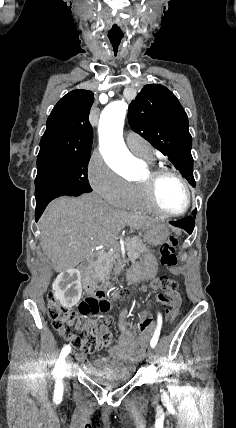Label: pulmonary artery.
Segmentation results:
<instances>
[{"instance_id":"1","label":"pulmonary artery","mask_w":236,"mask_h":428,"mask_svg":"<svg viewBox=\"0 0 236 428\" xmlns=\"http://www.w3.org/2000/svg\"><path fill=\"white\" fill-rule=\"evenodd\" d=\"M128 146L136 156L145 160H153V149L151 146H140L133 141H130Z\"/></svg>"}]
</instances>
